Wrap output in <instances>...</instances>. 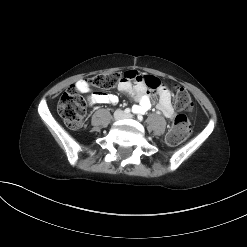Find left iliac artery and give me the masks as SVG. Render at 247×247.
I'll return each instance as SVG.
<instances>
[{
	"label": "left iliac artery",
	"instance_id": "left-iliac-artery-1",
	"mask_svg": "<svg viewBox=\"0 0 247 247\" xmlns=\"http://www.w3.org/2000/svg\"><path fill=\"white\" fill-rule=\"evenodd\" d=\"M138 120L142 121L143 117L141 115H138Z\"/></svg>",
	"mask_w": 247,
	"mask_h": 247
}]
</instances>
